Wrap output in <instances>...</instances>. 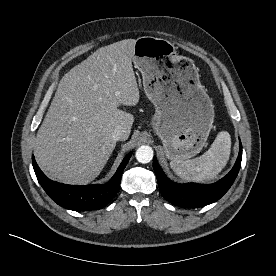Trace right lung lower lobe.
<instances>
[{
  "label": "right lung lower lobe",
  "instance_id": "98d812e1",
  "mask_svg": "<svg viewBox=\"0 0 276 276\" xmlns=\"http://www.w3.org/2000/svg\"><path fill=\"white\" fill-rule=\"evenodd\" d=\"M131 155L132 152L125 156L115 175L104 185L74 186L54 182L43 174L34 156H32V164L39 183L53 201L69 210L87 211L100 209L114 198L120 186L123 170Z\"/></svg>",
  "mask_w": 276,
  "mask_h": 276
}]
</instances>
